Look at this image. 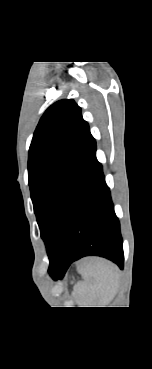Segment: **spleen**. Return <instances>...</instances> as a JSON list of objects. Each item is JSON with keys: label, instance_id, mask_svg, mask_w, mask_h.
<instances>
[{"label": "spleen", "instance_id": "obj_1", "mask_svg": "<svg viewBox=\"0 0 152 369\" xmlns=\"http://www.w3.org/2000/svg\"><path fill=\"white\" fill-rule=\"evenodd\" d=\"M82 276L84 281L75 287L80 305L108 304L118 284L117 267L107 260L93 258L82 271Z\"/></svg>", "mask_w": 152, "mask_h": 369}]
</instances>
